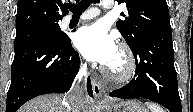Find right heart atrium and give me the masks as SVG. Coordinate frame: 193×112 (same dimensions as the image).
Wrapping results in <instances>:
<instances>
[{
	"label": "right heart atrium",
	"mask_w": 193,
	"mask_h": 112,
	"mask_svg": "<svg viewBox=\"0 0 193 112\" xmlns=\"http://www.w3.org/2000/svg\"><path fill=\"white\" fill-rule=\"evenodd\" d=\"M81 67L84 69L86 67L84 62H81Z\"/></svg>",
	"instance_id": "right-heart-atrium-1"
}]
</instances>
